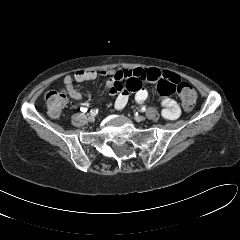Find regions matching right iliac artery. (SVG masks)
Listing matches in <instances>:
<instances>
[{
  "mask_svg": "<svg viewBox=\"0 0 240 240\" xmlns=\"http://www.w3.org/2000/svg\"><path fill=\"white\" fill-rule=\"evenodd\" d=\"M82 111H83V112H86L87 110H86V108H82ZM97 112H98L97 109H93V110L90 111V113H91L92 115H96Z\"/></svg>",
  "mask_w": 240,
  "mask_h": 240,
  "instance_id": "1",
  "label": "right iliac artery"
}]
</instances>
